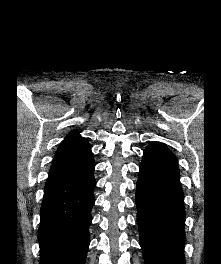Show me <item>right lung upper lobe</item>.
<instances>
[{
  "label": "right lung upper lobe",
  "mask_w": 221,
  "mask_h": 264,
  "mask_svg": "<svg viewBox=\"0 0 221 264\" xmlns=\"http://www.w3.org/2000/svg\"><path fill=\"white\" fill-rule=\"evenodd\" d=\"M91 152L87 140L81 137L77 132L68 135L60 144L53 163H61L82 157Z\"/></svg>",
  "instance_id": "obj_1"
}]
</instances>
